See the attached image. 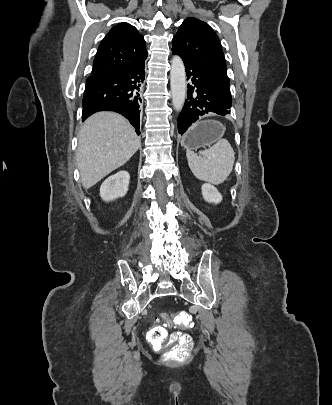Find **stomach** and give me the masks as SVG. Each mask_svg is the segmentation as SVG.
<instances>
[{"mask_svg": "<svg viewBox=\"0 0 332 405\" xmlns=\"http://www.w3.org/2000/svg\"><path fill=\"white\" fill-rule=\"evenodd\" d=\"M225 126L215 120H204L193 124L183 136L181 145L187 150L210 147L222 139Z\"/></svg>", "mask_w": 332, "mask_h": 405, "instance_id": "0dacf381", "label": "stomach"}]
</instances>
